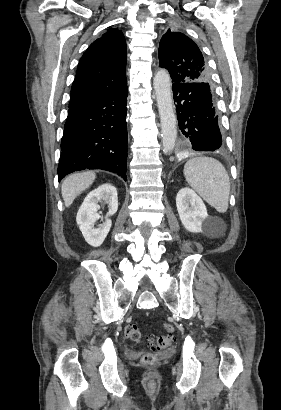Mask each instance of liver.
I'll return each mask as SVG.
<instances>
[{
    "label": "liver",
    "instance_id": "1",
    "mask_svg": "<svg viewBox=\"0 0 281 410\" xmlns=\"http://www.w3.org/2000/svg\"><path fill=\"white\" fill-rule=\"evenodd\" d=\"M93 171L77 173L66 178L62 184L61 193L66 207H69L75 198L86 190L95 180Z\"/></svg>",
    "mask_w": 281,
    "mask_h": 410
}]
</instances>
